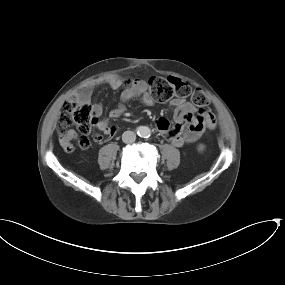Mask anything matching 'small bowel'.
Wrapping results in <instances>:
<instances>
[{
	"instance_id": "small-bowel-1",
	"label": "small bowel",
	"mask_w": 285,
	"mask_h": 285,
	"mask_svg": "<svg viewBox=\"0 0 285 285\" xmlns=\"http://www.w3.org/2000/svg\"><path fill=\"white\" fill-rule=\"evenodd\" d=\"M123 80L117 75H107L101 78H96L88 83L82 89L74 91L69 100L75 101H90L93 92L101 85L108 84L113 89L121 87ZM133 99H137L143 105L152 107L155 101L148 91L147 83L143 79H136L132 86L123 90L119 105L110 111L109 118H118L126 111V104ZM174 107V123L169 119L161 117L155 122L157 131L163 135L168 142L175 147H183L195 142L202 134L205 128V123L208 118L213 116L210 112L198 109L186 99H174L171 102ZM95 127L98 131L104 132L108 137H113L118 127L108 123L107 119L101 118L103 114V106L100 103L92 106ZM187 126V131L181 134V131ZM73 141L77 142L82 150H88L91 143L88 139L78 138L72 133ZM65 149L73 153L77 150V146L73 143L66 144Z\"/></svg>"
}]
</instances>
